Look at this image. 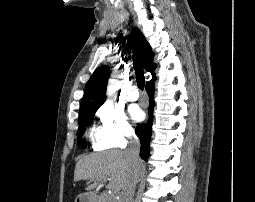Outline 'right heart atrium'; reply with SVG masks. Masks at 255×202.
<instances>
[{"mask_svg":"<svg viewBox=\"0 0 255 202\" xmlns=\"http://www.w3.org/2000/svg\"><path fill=\"white\" fill-rule=\"evenodd\" d=\"M97 116L101 124L98 147H122L134 136V128L124 112L112 104L105 103L100 106Z\"/></svg>","mask_w":255,"mask_h":202,"instance_id":"right-heart-atrium-1","label":"right heart atrium"}]
</instances>
